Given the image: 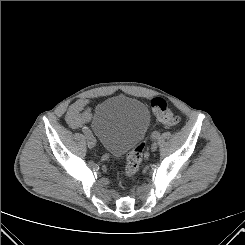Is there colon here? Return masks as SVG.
<instances>
[{"instance_id": "1", "label": "colon", "mask_w": 245, "mask_h": 245, "mask_svg": "<svg viewBox=\"0 0 245 245\" xmlns=\"http://www.w3.org/2000/svg\"><path fill=\"white\" fill-rule=\"evenodd\" d=\"M151 107L157 118L164 124L174 126L180 123L181 118L170 111L165 99L155 97L151 100ZM144 144L136 145L128 154L125 165V175L129 178L134 177L139 171L143 158Z\"/></svg>"}]
</instances>
